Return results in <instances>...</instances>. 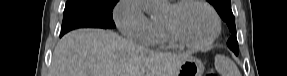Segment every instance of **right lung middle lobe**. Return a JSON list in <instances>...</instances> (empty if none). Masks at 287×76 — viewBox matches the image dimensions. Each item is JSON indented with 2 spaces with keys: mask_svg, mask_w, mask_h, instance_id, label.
Returning a JSON list of instances; mask_svg holds the SVG:
<instances>
[{
  "mask_svg": "<svg viewBox=\"0 0 287 76\" xmlns=\"http://www.w3.org/2000/svg\"><path fill=\"white\" fill-rule=\"evenodd\" d=\"M119 0H67L61 36L77 28L113 29L112 10Z\"/></svg>",
  "mask_w": 287,
  "mask_h": 76,
  "instance_id": "dd1d6c3e",
  "label": "right lung middle lobe"
}]
</instances>
